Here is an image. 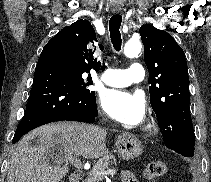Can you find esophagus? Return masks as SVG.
<instances>
[{"mask_svg":"<svg viewBox=\"0 0 211 182\" xmlns=\"http://www.w3.org/2000/svg\"><path fill=\"white\" fill-rule=\"evenodd\" d=\"M114 11H115V12H119L120 10H118V9H114Z\"/></svg>","mask_w":211,"mask_h":182,"instance_id":"esophagus-1","label":"esophagus"}]
</instances>
